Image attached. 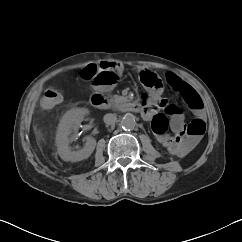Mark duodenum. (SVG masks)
Here are the masks:
<instances>
[{
    "label": "duodenum",
    "mask_w": 242,
    "mask_h": 242,
    "mask_svg": "<svg viewBox=\"0 0 242 242\" xmlns=\"http://www.w3.org/2000/svg\"><path fill=\"white\" fill-rule=\"evenodd\" d=\"M90 102L95 108L102 110L108 109L111 106L110 100L106 97V95L101 90L97 89L91 95ZM120 109L122 111L143 114L144 107L139 103L123 101Z\"/></svg>",
    "instance_id": "410a0bca"
}]
</instances>
